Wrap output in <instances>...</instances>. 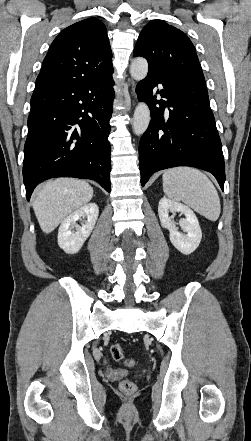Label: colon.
Segmentation results:
<instances>
[{
  "mask_svg": "<svg viewBox=\"0 0 251 441\" xmlns=\"http://www.w3.org/2000/svg\"><path fill=\"white\" fill-rule=\"evenodd\" d=\"M110 354L115 361H121L124 358L122 346L118 343H114L110 346ZM120 389L124 393H133L136 390V385L131 380H123L119 385Z\"/></svg>",
  "mask_w": 251,
  "mask_h": 441,
  "instance_id": "1",
  "label": "colon"
}]
</instances>
